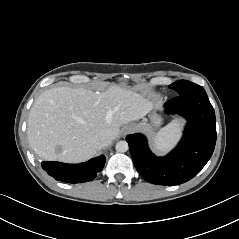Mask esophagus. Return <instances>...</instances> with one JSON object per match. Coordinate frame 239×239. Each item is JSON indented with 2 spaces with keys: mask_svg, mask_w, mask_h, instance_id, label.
Masks as SVG:
<instances>
[{
  "mask_svg": "<svg viewBox=\"0 0 239 239\" xmlns=\"http://www.w3.org/2000/svg\"><path fill=\"white\" fill-rule=\"evenodd\" d=\"M135 129V126L130 124V125H127L123 128V134L126 135V134H129L131 133L133 130Z\"/></svg>",
  "mask_w": 239,
  "mask_h": 239,
  "instance_id": "obj_1",
  "label": "esophagus"
}]
</instances>
